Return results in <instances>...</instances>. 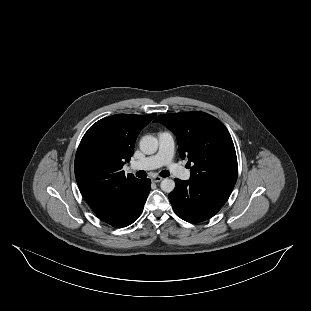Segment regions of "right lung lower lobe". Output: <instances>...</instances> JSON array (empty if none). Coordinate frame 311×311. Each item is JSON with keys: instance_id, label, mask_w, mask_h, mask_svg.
Here are the masks:
<instances>
[{"instance_id": "obj_1", "label": "right lung lower lobe", "mask_w": 311, "mask_h": 311, "mask_svg": "<svg viewBox=\"0 0 311 311\" xmlns=\"http://www.w3.org/2000/svg\"><path fill=\"white\" fill-rule=\"evenodd\" d=\"M150 179L139 180L129 187L119 198L95 212L104 222L122 228L132 224L142 213L151 190Z\"/></svg>"}]
</instances>
